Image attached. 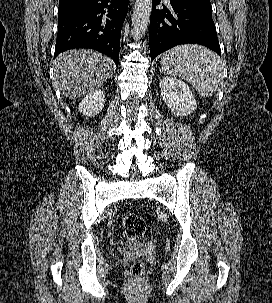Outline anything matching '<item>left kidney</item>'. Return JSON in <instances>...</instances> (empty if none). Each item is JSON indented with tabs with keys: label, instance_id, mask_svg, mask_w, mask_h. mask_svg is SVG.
<instances>
[{
	"label": "left kidney",
	"instance_id": "1",
	"mask_svg": "<svg viewBox=\"0 0 272 303\" xmlns=\"http://www.w3.org/2000/svg\"><path fill=\"white\" fill-rule=\"evenodd\" d=\"M159 84L162 99L174 115L187 116L197 109L193 93L185 82L165 76Z\"/></svg>",
	"mask_w": 272,
	"mask_h": 303
}]
</instances>
